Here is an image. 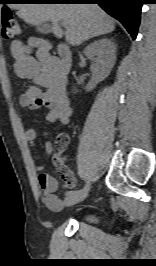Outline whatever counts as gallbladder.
<instances>
[{"label": "gallbladder", "instance_id": "obj_1", "mask_svg": "<svg viewBox=\"0 0 156 266\" xmlns=\"http://www.w3.org/2000/svg\"><path fill=\"white\" fill-rule=\"evenodd\" d=\"M36 29L41 34H48L51 32V26L47 22H44V23L37 25Z\"/></svg>", "mask_w": 156, "mask_h": 266}]
</instances>
